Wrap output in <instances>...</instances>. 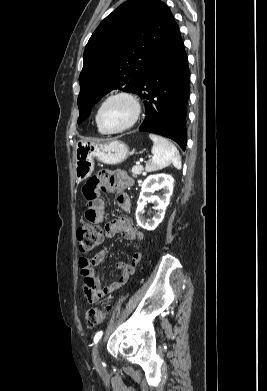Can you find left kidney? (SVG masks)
I'll list each match as a JSON object with an SVG mask.
<instances>
[{"label":"left kidney","mask_w":267,"mask_h":391,"mask_svg":"<svg viewBox=\"0 0 267 391\" xmlns=\"http://www.w3.org/2000/svg\"><path fill=\"white\" fill-rule=\"evenodd\" d=\"M174 179L170 175L156 174L148 176L141 185V192L137 201L136 220L140 227L146 230H154L164 219L165 211L170 202V197L173 193ZM163 191L162 197L151 195L157 190ZM147 201L156 204L155 213L152 219H146L144 214V206Z\"/></svg>","instance_id":"1"}]
</instances>
